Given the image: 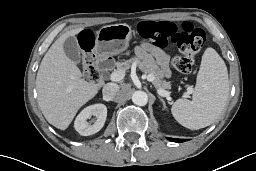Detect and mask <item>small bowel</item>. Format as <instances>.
<instances>
[{"mask_svg": "<svg viewBox=\"0 0 256 171\" xmlns=\"http://www.w3.org/2000/svg\"><path fill=\"white\" fill-rule=\"evenodd\" d=\"M136 53L141 58H145L148 56V54H151L155 58L163 74L164 75L169 74V68H168L169 57L163 50L145 43V44H141L136 48Z\"/></svg>", "mask_w": 256, "mask_h": 171, "instance_id": "small-bowel-1", "label": "small bowel"}]
</instances>
